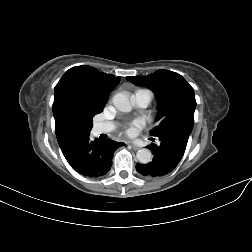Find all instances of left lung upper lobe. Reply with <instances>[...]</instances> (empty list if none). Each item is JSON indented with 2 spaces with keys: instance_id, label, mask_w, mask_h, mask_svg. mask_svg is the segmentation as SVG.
I'll return each instance as SVG.
<instances>
[{
  "instance_id": "left-lung-upper-lobe-1",
  "label": "left lung upper lobe",
  "mask_w": 252,
  "mask_h": 252,
  "mask_svg": "<svg viewBox=\"0 0 252 252\" xmlns=\"http://www.w3.org/2000/svg\"><path fill=\"white\" fill-rule=\"evenodd\" d=\"M138 86L150 88L158 100L156 120L160 124L150 133L161 136L169 132L191 134L194 125L196 100L193 88L178 73L169 70H157L143 76L126 77Z\"/></svg>"
}]
</instances>
